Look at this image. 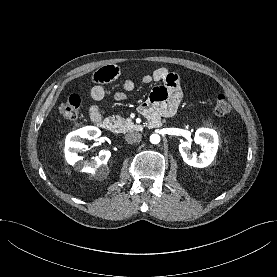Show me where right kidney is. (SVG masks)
Masks as SVG:
<instances>
[{
  "instance_id": "ca27d5eb",
  "label": "right kidney",
  "mask_w": 277,
  "mask_h": 277,
  "mask_svg": "<svg viewBox=\"0 0 277 277\" xmlns=\"http://www.w3.org/2000/svg\"><path fill=\"white\" fill-rule=\"evenodd\" d=\"M101 135V131L94 126H87L69 133L65 140V158L68 164L82 172L92 173L102 164H106L111 156L108 150L101 151L98 156L93 157L91 162L83 161V157L78 152L86 148L81 143L82 138L97 139Z\"/></svg>"
}]
</instances>
